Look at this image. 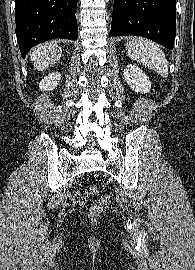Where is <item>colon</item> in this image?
Returning <instances> with one entry per match:
<instances>
[{
	"instance_id": "1",
	"label": "colon",
	"mask_w": 195,
	"mask_h": 270,
	"mask_svg": "<svg viewBox=\"0 0 195 270\" xmlns=\"http://www.w3.org/2000/svg\"><path fill=\"white\" fill-rule=\"evenodd\" d=\"M98 193V188L96 186H91L88 189H80L75 192L73 196V202L75 204H83L88 195H96ZM110 197L108 195H103L101 197V203L106 205L110 203ZM102 212V205L101 204H94L90 207L89 213L92 216H97Z\"/></svg>"
}]
</instances>
